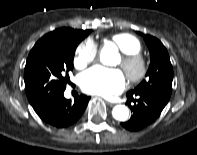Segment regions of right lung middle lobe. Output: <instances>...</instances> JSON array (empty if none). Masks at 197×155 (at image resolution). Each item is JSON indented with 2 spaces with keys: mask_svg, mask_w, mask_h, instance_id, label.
<instances>
[{
  "mask_svg": "<svg viewBox=\"0 0 197 155\" xmlns=\"http://www.w3.org/2000/svg\"><path fill=\"white\" fill-rule=\"evenodd\" d=\"M90 32L81 34L71 28H60L34 45L24 70L25 91L33 107L66 89L75 49Z\"/></svg>",
  "mask_w": 197,
  "mask_h": 155,
  "instance_id": "obj_1",
  "label": "right lung middle lobe"
}]
</instances>
